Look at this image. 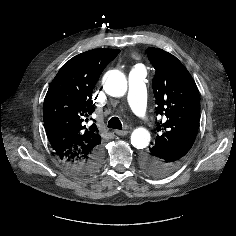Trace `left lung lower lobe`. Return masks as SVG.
Instances as JSON below:
<instances>
[{
	"instance_id": "1",
	"label": "left lung lower lobe",
	"mask_w": 236,
	"mask_h": 236,
	"mask_svg": "<svg viewBox=\"0 0 236 236\" xmlns=\"http://www.w3.org/2000/svg\"><path fill=\"white\" fill-rule=\"evenodd\" d=\"M190 148L153 146L143 155L142 167L149 175L164 177L175 171L183 162Z\"/></svg>"
}]
</instances>
